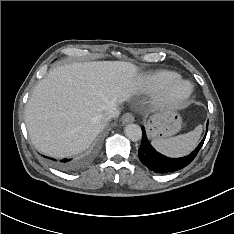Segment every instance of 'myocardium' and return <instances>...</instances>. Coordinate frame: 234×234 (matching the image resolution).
I'll return each instance as SVG.
<instances>
[{"mask_svg":"<svg viewBox=\"0 0 234 234\" xmlns=\"http://www.w3.org/2000/svg\"><path fill=\"white\" fill-rule=\"evenodd\" d=\"M192 85L183 79L176 78L167 83L161 92V99L170 103H181L192 94Z\"/></svg>","mask_w":234,"mask_h":234,"instance_id":"obj_1","label":"myocardium"}]
</instances>
